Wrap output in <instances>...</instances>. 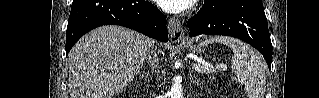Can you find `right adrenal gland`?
I'll return each mask as SVG.
<instances>
[{"label": "right adrenal gland", "instance_id": "2a0ac1e0", "mask_svg": "<svg viewBox=\"0 0 319 98\" xmlns=\"http://www.w3.org/2000/svg\"><path fill=\"white\" fill-rule=\"evenodd\" d=\"M150 76H151V74H150L149 71H147L146 73H143V74H142V78H143V77L149 78Z\"/></svg>", "mask_w": 319, "mask_h": 98}]
</instances>
